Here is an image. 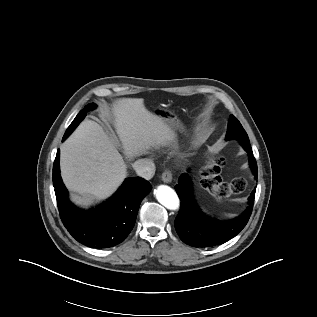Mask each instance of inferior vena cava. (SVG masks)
I'll return each mask as SVG.
<instances>
[{"label": "inferior vena cava", "mask_w": 317, "mask_h": 317, "mask_svg": "<svg viewBox=\"0 0 317 317\" xmlns=\"http://www.w3.org/2000/svg\"><path fill=\"white\" fill-rule=\"evenodd\" d=\"M137 175L150 180L155 174V164L150 159H139L132 164Z\"/></svg>", "instance_id": "1"}]
</instances>
